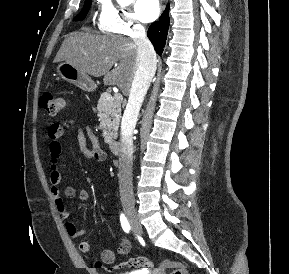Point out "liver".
<instances>
[{"label": "liver", "mask_w": 289, "mask_h": 274, "mask_svg": "<svg viewBox=\"0 0 289 274\" xmlns=\"http://www.w3.org/2000/svg\"><path fill=\"white\" fill-rule=\"evenodd\" d=\"M137 46L116 35L85 32L69 34L54 62L66 61L94 77L104 76V84L117 85L127 95L136 70ZM116 67L110 71L112 66Z\"/></svg>", "instance_id": "liver-1"}]
</instances>
